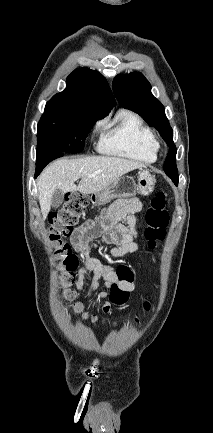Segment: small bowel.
I'll return each mask as SVG.
<instances>
[{"label": "small bowel", "instance_id": "obj_1", "mask_svg": "<svg viewBox=\"0 0 213 433\" xmlns=\"http://www.w3.org/2000/svg\"><path fill=\"white\" fill-rule=\"evenodd\" d=\"M142 210V204L137 199L118 200L98 219H89L74 229L70 235V242L77 253L81 265L74 269L76 277L75 287L80 290L84 286V276L92 273V282L88 298L90 299L98 287L103 284L106 290L97 293L104 312L110 309V302L105 299L111 294L114 285L126 291H133L134 284L119 282L116 270L109 264H104L94 251L103 244L112 245L109 253L114 258H120L139 249L137 238L140 223L137 214Z\"/></svg>", "mask_w": 213, "mask_h": 433}]
</instances>
